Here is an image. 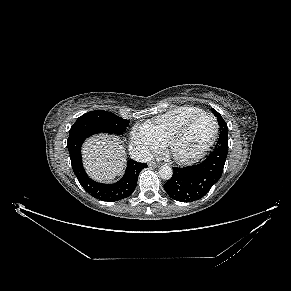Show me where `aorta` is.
<instances>
[{"mask_svg":"<svg viewBox=\"0 0 291 291\" xmlns=\"http://www.w3.org/2000/svg\"><path fill=\"white\" fill-rule=\"evenodd\" d=\"M173 175V171L170 166L163 165L159 168V176L164 180H169Z\"/></svg>","mask_w":291,"mask_h":291,"instance_id":"obj_1","label":"aorta"}]
</instances>
